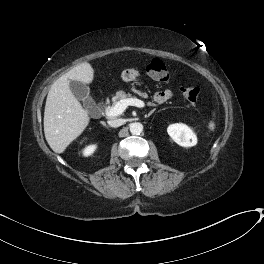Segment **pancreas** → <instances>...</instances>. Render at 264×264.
<instances>
[{
  "mask_svg": "<svg viewBox=\"0 0 264 264\" xmlns=\"http://www.w3.org/2000/svg\"><path fill=\"white\" fill-rule=\"evenodd\" d=\"M131 97V94H126L124 91L120 90L116 92V95L112 98L113 104L115 105L120 100L127 99Z\"/></svg>",
  "mask_w": 264,
  "mask_h": 264,
  "instance_id": "obj_1",
  "label": "pancreas"
}]
</instances>
